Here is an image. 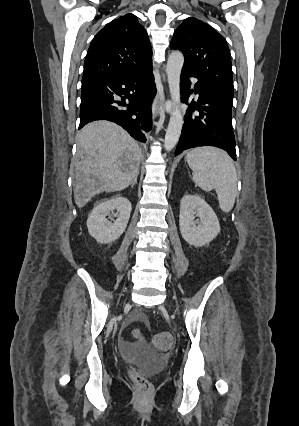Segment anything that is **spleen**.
Listing matches in <instances>:
<instances>
[{
    "mask_svg": "<svg viewBox=\"0 0 299 426\" xmlns=\"http://www.w3.org/2000/svg\"><path fill=\"white\" fill-rule=\"evenodd\" d=\"M186 161L193 170L194 182L205 191L214 189L220 208L229 212L237 194V174L231 158L220 149L199 147L188 152Z\"/></svg>",
    "mask_w": 299,
    "mask_h": 426,
    "instance_id": "obj_1",
    "label": "spleen"
}]
</instances>
